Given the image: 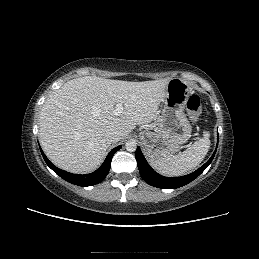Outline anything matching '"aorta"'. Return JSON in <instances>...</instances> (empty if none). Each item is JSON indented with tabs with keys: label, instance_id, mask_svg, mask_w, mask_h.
Masks as SVG:
<instances>
[{
	"label": "aorta",
	"instance_id": "762f6f07",
	"mask_svg": "<svg viewBox=\"0 0 259 259\" xmlns=\"http://www.w3.org/2000/svg\"><path fill=\"white\" fill-rule=\"evenodd\" d=\"M125 148L127 151L129 152H134L137 148V144L134 140H129L126 144H125Z\"/></svg>",
	"mask_w": 259,
	"mask_h": 259
}]
</instances>
